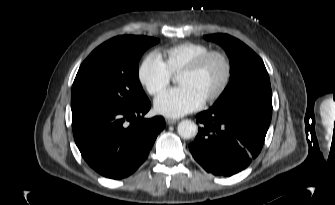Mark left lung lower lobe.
Instances as JSON below:
<instances>
[{"label":"left lung lower lobe","mask_w":335,"mask_h":205,"mask_svg":"<svg viewBox=\"0 0 335 205\" xmlns=\"http://www.w3.org/2000/svg\"><path fill=\"white\" fill-rule=\"evenodd\" d=\"M271 116L272 109L252 103L211 107L196 116L202 125L190 152L207 172L234 175L260 153Z\"/></svg>","instance_id":"left-lung-lower-lobe-1"}]
</instances>
